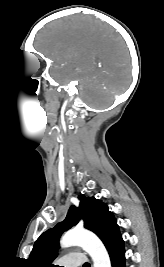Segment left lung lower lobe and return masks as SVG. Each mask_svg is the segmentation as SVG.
<instances>
[{
	"instance_id": "left-lung-lower-lobe-1",
	"label": "left lung lower lobe",
	"mask_w": 164,
	"mask_h": 267,
	"mask_svg": "<svg viewBox=\"0 0 164 267\" xmlns=\"http://www.w3.org/2000/svg\"><path fill=\"white\" fill-rule=\"evenodd\" d=\"M111 259L112 267H125L124 241L119 228L103 242Z\"/></svg>"
}]
</instances>
